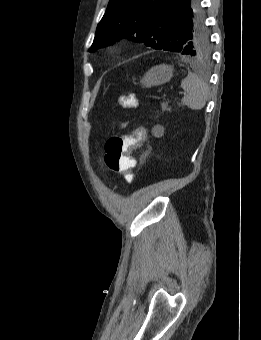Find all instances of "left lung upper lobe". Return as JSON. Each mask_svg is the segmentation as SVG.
<instances>
[{
    "instance_id": "5c2ea615",
    "label": "left lung upper lobe",
    "mask_w": 261,
    "mask_h": 340,
    "mask_svg": "<svg viewBox=\"0 0 261 340\" xmlns=\"http://www.w3.org/2000/svg\"><path fill=\"white\" fill-rule=\"evenodd\" d=\"M165 0H110L97 26L93 52L125 37L154 49L178 52L191 58L210 54V38L200 5L191 17L169 20L160 8Z\"/></svg>"
}]
</instances>
